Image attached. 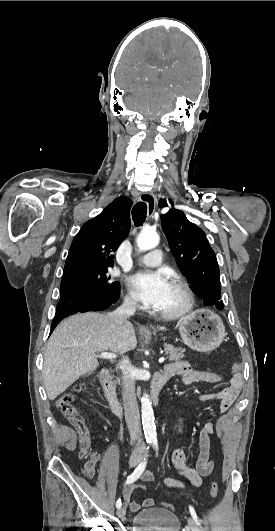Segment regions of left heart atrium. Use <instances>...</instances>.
<instances>
[{"label": "left heart atrium", "instance_id": "left-heart-atrium-1", "mask_svg": "<svg viewBox=\"0 0 275 531\" xmlns=\"http://www.w3.org/2000/svg\"><path fill=\"white\" fill-rule=\"evenodd\" d=\"M170 284L169 275L164 270L140 271L129 279L133 293L146 305L158 307Z\"/></svg>", "mask_w": 275, "mask_h": 531}]
</instances>
